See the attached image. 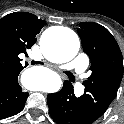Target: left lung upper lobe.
<instances>
[{
    "label": "left lung upper lobe",
    "instance_id": "5c2ea615",
    "mask_svg": "<svg viewBox=\"0 0 124 124\" xmlns=\"http://www.w3.org/2000/svg\"><path fill=\"white\" fill-rule=\"evenodd\" d=\"M79 26L82 48L91 60V75L85 81V92L79 99L93 123L117 95L123 77V57L116 40L105 27L93 22Z\"/></svg>",
    "mask_w": 124,
    "mask_h": 124
}]
</instances>
